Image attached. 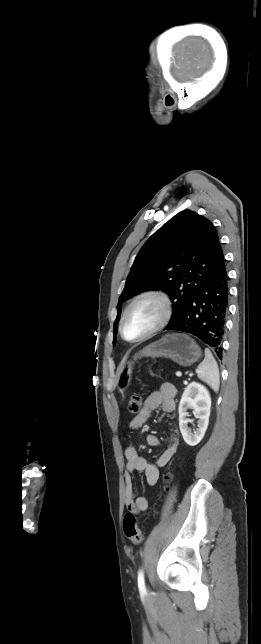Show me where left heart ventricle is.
Segmentation results:
<instances>
[{"mask_svg": "<svg viewBox=\"0 0 261 644\" xmlns=\"http://www.w3.org/2000/svg\"><path fill=\"white\" fill-rule=\"evenodd\" d=\"M162 314L160 303L151 298L136 303L130 310L125 323V336L137 339L152 329Z\"/></svg>", "mask_w": 261, "mask_h": 644, "instance_id": "1", "label": "left heart ventricle"}]
</instances>
